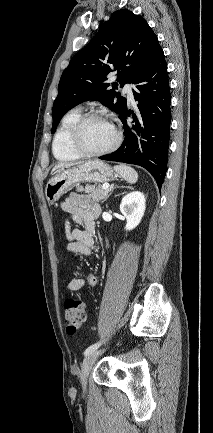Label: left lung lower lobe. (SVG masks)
I'll use <instances>...</instances> for the list:
<instances>
[{
    "label": "left lung lower lobe",
    "mask_w": 213,
    "mask_h": 433,
    "mask_svg": "<svg viewBox=\"0 0 213 433\" xmlns=\"http://www.w3.org/2000/svg\"><path fill=\"white\" fill-rule=\"evenodd\" d=\"M136 112L127 110L120 119L125 138L118 150L99 157L107 161L135 164L147 169L159 189L167 171L170 134V87L164 52L159 47L143 71L134 79ZM133 121L127 124V116Z\"/></svg>",
    "instance_id": "1"
}]
</instances>
